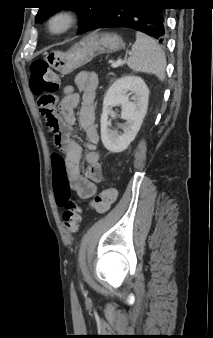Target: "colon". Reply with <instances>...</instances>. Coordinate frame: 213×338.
<instances>
[{
    "mask_svg": "<svg viewBox=\"0 0 213 338\" xmlns=\"http://www.w3.org/2000/svg\"><path fill=\"white\" fill-rule=\"evenodd\" d=\"M30 88L33 94L39 96V109L51 129L54 144L61 146L63 132L55 114L53 97V94L60 88V81L44 60H34L32 62ZM54 192L57 204L64 207L63 223L65 229L71 233H76L81 222V209L70 196L64 171L56 172ZM116 197V190L112 187H107L93 198L91 208L98 213H107Z\"/></svg>",
    "mask_w": 213,
    "mask_h": 338,
    "instance_id": "obj_1",
    "label": "colon"
}]
</instances>
